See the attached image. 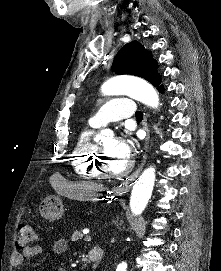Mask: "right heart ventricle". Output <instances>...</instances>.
<instances>
[{
  "mask_svg": "<svg viewBox=\"0 0 221 271\" xmlns=\"http://www.w3.org/2000/svg\"><path fill=\"white\" fill-rule=\"evenodd\" d=\"M98 144L95 141H89L88 138H79L76 142L78 151H85L90 154H73L72 160L74 164H82L81 166H75L74 171L79 179H101L102 175L98 174L99 165L95 164L92 158L97 156L99 152Z\"/></svg>",
  "mask_w": 221,
  "mask_h": 271,
  "instance_id": "1",
  "label": "right heart ventricle"
}]
</instances>
